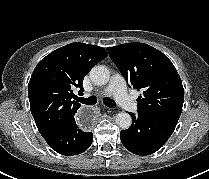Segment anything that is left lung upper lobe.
<instances>
[{"instance_id":"5c2ea615","label":"left lung upper lobe","mask_w":209,"mask_h":179,"mask_svg":"<svg viewBox=\"0 0 209 179\" xmlns=\"http://www.w3.org/2000/svg\"><path fill=\"white\" fill-rule=\"evenodd\" d=\"M109 56L127 82L142 96L138 111L178 120L184 102L181 79L172 62L144 43H126L107 48Z\"/></svg>"}]
</instances>
